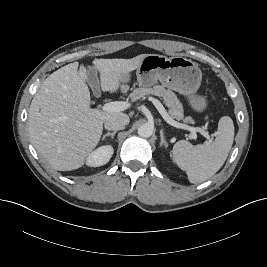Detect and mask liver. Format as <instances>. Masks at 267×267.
I'll list each match as a JSON object with an SVG mask.
<instances>
[{"label": "liver", "instance_id": "obj_1", "mask_svg": "<svg viewBox=\"0 0 267 267\" xmlns=\"http://www.w3.org/2000/svg\"><path fill=\"white\" fill-rule=\"evenodd\" d=\"M144 55L131 59H96L101 89L114 93L122 88V76L137 69ZM74 62L49 75L32 99L28 114L31 143L54 169L80 168L98 145L103 124L110 118H129L121 112L90 107V91L84 66Z\"/></svg>", "mask_w": 267, "mask_h": 267}]
</instances>
